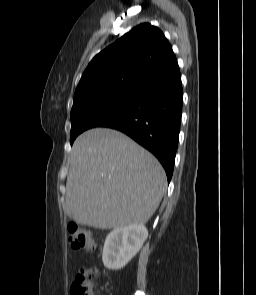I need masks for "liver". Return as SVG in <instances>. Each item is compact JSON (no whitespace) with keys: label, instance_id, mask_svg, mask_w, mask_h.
I'll list each match as a JSON object with an SVG mask.
<instances>
[{"label":"liver","instance_id":"liver-1","mask_svg":"<svg viewBox=\"0 0 256 295\" xmlns=\"http://www.w3.org/2000/svg\"><path fill=\"white\" fill-rule=\"evenodd\" d=\"M167 186L159 161L128 136L95 128L75 140L64 212L80 225L113 229L145 224Z\"/></svg>","mask_w":256,"mask_h":295}]
</instances>
